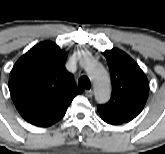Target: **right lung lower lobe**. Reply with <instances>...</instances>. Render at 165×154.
Masks as SVG:
<instances>
[{
    "label": "right lung lower lobe",
    "mask_w": 165,
    "mask_h": 154,
    "mask_svg": "<svg viewBox=\"0 0 165 154\" xmlns=\"http://www.w3.org/2000/svg\"><path fill=\"white\" fill-rule=\"evenodd\" d=\"M71 102L72 100L65 101L59 106L40 113L27 121L36 126L48 127L59 121L64 116Z\"/></svg>",
    "instance_id": "1"
}]
</instances>
